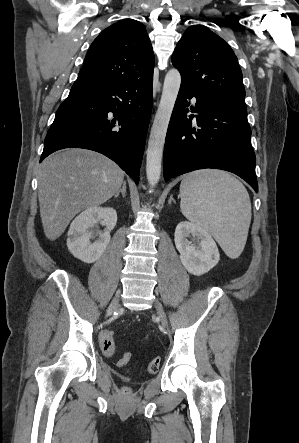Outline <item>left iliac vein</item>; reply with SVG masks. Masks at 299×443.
Wrapping results in <instances>:
<instances>
[{
	"label": "left iliac vein",
	"instance_id": "left-iliac-vein-1",
	"mask_svg": "<svg viewBox=\"0 0 299 443\" xmlns=\"http://www.w3.org/2000/svg\"><path fill=\"white\" fill-rule=\"evenodd\" d=\"M155 308H156V311L159 315L162 327L166 328L167 327L166 315L162 309V306L160 305V303L157 300L155 301Z\"/></svg>",
	"mask_w": 299,
	"mask_h": 443
}]
</instances>
